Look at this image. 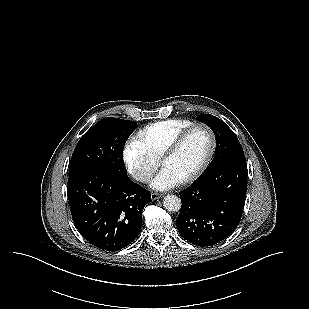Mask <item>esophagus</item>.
<instances>
[{"label": "esophagus", "mask_w": 309, "mask_h": 309, "mask_svg": "<svg viewBox=\"0 0 309 309\" xmlns=\"http://www.w3.org/2000/svg\"><path fill=\"white\" fill-rule=\"evenodd\" d=\"M160 197H162V194H159V193H151V199L152 200H156V199H159Z\"/></svg>", "instance_id": "34e87169"}]
</instances>
